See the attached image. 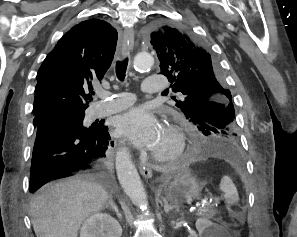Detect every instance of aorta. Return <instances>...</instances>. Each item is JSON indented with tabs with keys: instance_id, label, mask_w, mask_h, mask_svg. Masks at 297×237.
Instances as JSON below:
<instances>
[{
	"instance_id": "obj_1",
	"label": "aorta",
	"mask_w": 297,
	"mask_h": 237,
	"mask_svg": "<svg viewBox=\"0 0 297 237\" xmlns=\"http://www.w3.org/2000/svg\"><path fill=\"white\" fill-rule=\"evenodd\" d=\"M153 64L154 59L148 53L137 54L133 62L137 71L147 70ZM116 170L119 182L131 202L140 210L146 211L148 209L146 192L126 148H122L116 153Z\"/></svg>"
}]
</instances>
